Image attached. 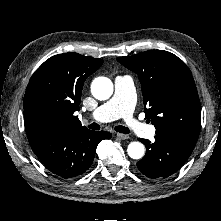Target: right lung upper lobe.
Listing matches in <instances>:
<instances>
[{"mask_svg": "<svg viewBox=\"0 0 221 221\" xmlns=\"http://www.w3.org/2000/svg\"><path fill=\"white\" fill-rule=\"evenodd\" d=\"M102 63L101 59L72 52L46 60L32 75L26 88L23 100L26 133L43 129H87L74 113L79 110L84 81Z\"/></svg>", "mask_w": 221, "mask_h": 221, "instance_id": "1", "label": "right lung upper lobe"}]
</instances>
